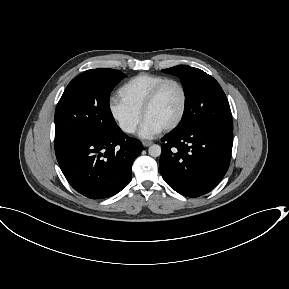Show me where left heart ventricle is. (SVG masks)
<instances>
[{
  "mask_svg": "<svg viewBox=\"0 0 289 289\" xmlns=\"http://www.w3.org/2000/svg\"><path fill=\"white\" fill-rule=\"evenodd\" d=\"M181 106L182 94L180 89L175 84H167L147 111L145 119L151 120L164 128L177 118Z\"/></svg>",
  "mask_w": 289,
  "mask_h": 289,
  "instance_id": "b2bd125f",
  "label": "left heart ventricle"
}]
</instances>
